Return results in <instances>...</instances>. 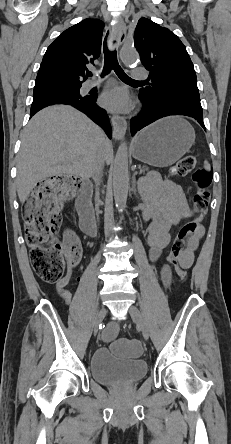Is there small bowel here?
<instances>
[{"label": "small bowel", "instance_id": "c3829d8e", "mask_svg": "<svg viewBox=\"0 0 231 444\" xmlns=\"http://www.w3.org/2000/svg\"><path fill=\"white\" fill-rule=\"evenodd\" d=\"M142 193L147 201L145 216L152 218L153 222L149 229L148 245L150 247V258L156 261L162 250L169 244L171 239L170 230L173 225L181 219L190 217L192 211L188 206L183 188L169 180L162 179L157 174L147 177L142 183ZM204 234L203 227H199L190 238L188 247L181 257V263L186 268L192 266L194 254L199 247L200 239ZM64 246L69 252L81 256L82 248L78 236L72 230L64 233ZM70 280V274L60 280L57 290L60 297L68 305L71 302V294L64 289ZM161 280L167 288L172 281V270L169 264H164L161 269ZM118 331L115 323L110 324L103 332L105 341L114 339Z\"/></svg>", "mask_w": 231, "mask_h": 444}]
</instances>
